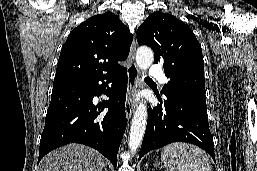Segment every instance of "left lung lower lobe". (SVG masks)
<instances>
[{
    "mask_svg": "<svg viewBox=\"0 0 257 171\" xmlns=\"http://www.w3.org/2000/svg\"><path fill=\"white\" fill-rule=\"evenodd\" d=\"M164 95L163 105L149 108L139 159L147 152L169 143L187 142L201 147L215 160L206 98L177 90L164 92ZM158 98L162 102L161 97Z\"/></svg>",
    "mask_w": 257,
    "mask_h": 171,
    "instance_id": "left-lung-lower-lobe-1",
    "label": "left lung lower lobe"
}]
</instances>
